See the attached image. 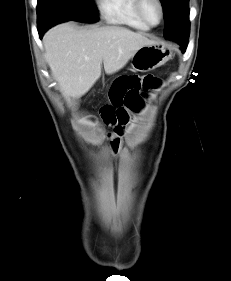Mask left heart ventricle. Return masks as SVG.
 Returning <instances> with one entry per match:
<instances>
[{
    "instance_id": "b2bd125f",
    "label": "left heart ventricle",
    "mask_w": 231,
    "mask_h": 281,
    "mask_svg": "<svg viewBox=\"0 0 231 281\" xmlns=\"http://www.w3.org/2000/svg\"><path fill=\"white\" fill-rule=\"evenodd\" d=\"M144 11L148 19L152 23H157L160 19V11L158 5L153 0H145Z\"/></svg>"
}]
</instances>
